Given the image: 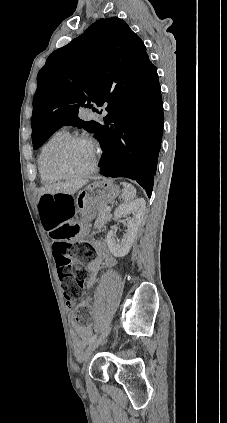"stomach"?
Instances as JSON below:
<instances>
[{"mask_svg":"<svg viewBox=\"0 0 227 423\" xmlns=\"http://www.w3.org/2000/svg\"><path fill=\"white\" fill-rule=\"evenodd\" d=\"M119 194L120 190L118 186H114L112 180L101 178V180H95L79 192L75 200L76 208L81 213L88 211L93 215L99 206L111 204Z\"/></svg>","mask_w":227,"mask_h":423,"instance_id":"stomach-1","label":"stomach"}]
</instances>
